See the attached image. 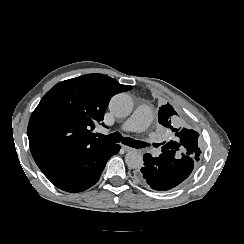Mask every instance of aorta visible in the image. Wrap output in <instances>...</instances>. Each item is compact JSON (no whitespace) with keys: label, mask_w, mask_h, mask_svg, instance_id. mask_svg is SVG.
<instances>
[{"label":"aorta","mask_w":244,"mask_h":244,"mask_svg":"<svg viewBox=\"0 0 244 244\" xmlns=\"http://www.w3.org/2000/svg\"><path fill=\"white\" fill-rule=\"evenodd\" d=\"M133 107L132 98L125 93L113 96L109 105L110 111L119 118L130 115ZM125 163L129 168L139 169L143 166V156L139 151L131 150L125 155Z\"/></svg>","instance_id":"762f6f07"}]
</instances>
